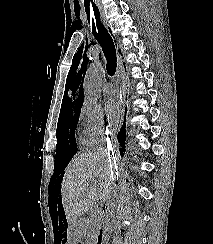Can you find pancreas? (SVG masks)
Here are the masks:
<instances>
[{
	"instance_id": "obj_1",
	"label": "pancreas",
	"mask_w": 213,
	"mask_h": 244,
	"mask_svg": "<svg viewBox=\"0 0 213 244\" xmlns=\"http://www.w3.org/2000/svg\"><path fill=\"white\" fill-rule=\"evenodd\" d=\"M82 233L87 241H93L99 233V222L93 218L87 222L85 221L82 227Z\"/></svg>"
}]
</instances>
